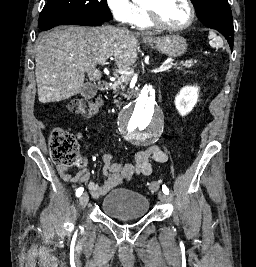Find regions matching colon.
<instances>
[{
  "instance_id": "colon-1",
  "label": "colon",
  "mask_w": 256,
  "mask_h": 267,
  "mask_svg": "<svg viewBox=\"0 0 256 267\" xmlns=\"http://www.w3.org/2000/svg\"><path fill=\"white\" fill-rule=\"evenodd\" d=\"M99 108V104L94 98L74 99L69 104L70 111L76 116H88L95 113ZM50 148L53 159L56 163L65 166H74L83 163L78 154V143L75 138L61 130L57 129L53 132L50 139ZM147 189L156 193L161 189L159 181L149 182Z\"/></svg>"
}]
</instances>
